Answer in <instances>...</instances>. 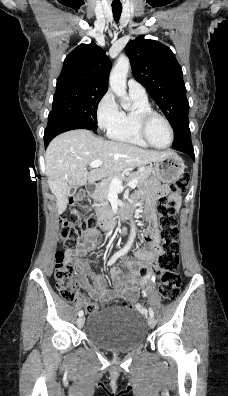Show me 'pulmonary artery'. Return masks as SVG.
<instances>
[{
	"label": "pulmonary artery",
	"mask_w": 228,
	"mask_h": 396,
	"mask_svg": "<svg viewBox=\"0 0 228 396\" xmlns=\"http://www.w3.org/2000/svg\"><path fill=\"white\" fill-rule=\"evenodd\" d=\"M128 90L131 95L145 98L147 97V93L145 88L137 82L135 79L130 78L127 82Z\"/></svg>",
	"instance_id": "pulmonary-artery-1"
}]
</instances>
